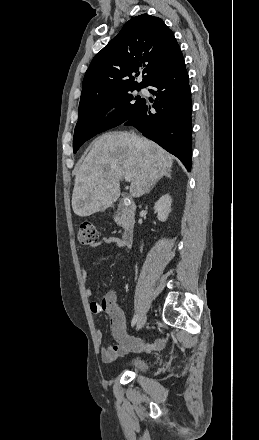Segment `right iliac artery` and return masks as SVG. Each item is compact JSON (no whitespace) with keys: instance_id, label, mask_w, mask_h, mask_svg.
Returning a JSON list of instances; mask_svg holds the SVG:
<instances>
[{"instance_id":"1","label":"right iliac artery","mask_w":259,"mask_h":440,"mask_svg":"<svg viewBox=\"0 0 259 440\" xmlns=\"http://www.w3.org/2000/svg\"><path fill=\"white\" fill-rule=\"evenodd\" d=\"M137 320H138V314H135L131 323L132 327L136 324Z\"/></svg>"}]
</instances>
